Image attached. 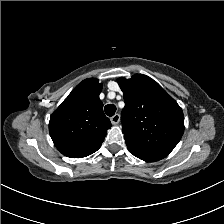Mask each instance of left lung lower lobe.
I'll use <instances>...</instances> for the list:
<instances>
[{
	"instance_id": "0a47b994",
	"label": "left lung lower lobe",
	"mask_w": 224,
	"mask_h": 224,
	"mask_svg": "<svg viewBox=\"0 0 224 224\" xmlns=\"http://www.w3.org/2000/svg\"><path fill=\"white\" fill-rule=\"evenodd\" d=\"M128 150L134 156H136V157H138V158H140V159H142L144 161H147V162L158 161V160H161L164 157H166V156H164L162 154L150 152V151L139 149V148H135V147H132V146H128Z\"/></svg>"
}]
</instances>
